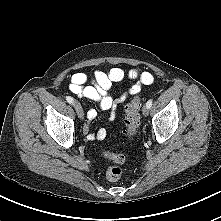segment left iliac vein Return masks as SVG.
I'll return each instance as SVG.
<instances>
[{"label": "left iliac vein", "instance_id": "left-iliac-vein-1", "mask_svg": "<svg viewBox=\"0 0 221 221\" xmlns=\"http://www.w3.org/2000/svg\"><path fill=\"white\" fill-rule=\"evenodd\" d=\"M143 115L148 116L149 114V108L147 106H144L142 109Z\"/></svg>", "mask_w": 221, "mask_h": 221}]
</instances>
